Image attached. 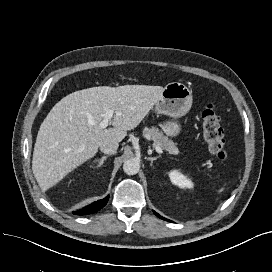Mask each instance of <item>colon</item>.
<instances>
[{
    "mask_svg": "<svg viewBox=\"0 0 272 272\" xmlns=\"http://www.w3.org/2000/svg\"><path fill=\"white\" fill-rule=\"evenodd\" d=\"M202 136L209 151L220 160L228 156L224 131L221 126V118L214 107L209 104L204 109L202 115Z\"/></svg>",
    "mask_w": 272,
    "mask_h": 272,
    "instance_id": "1",
    "label": "colon"
}]
</instances>
